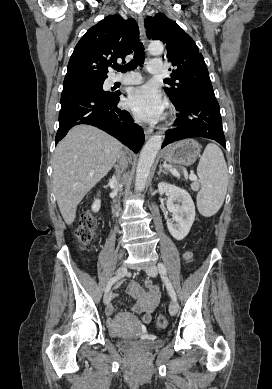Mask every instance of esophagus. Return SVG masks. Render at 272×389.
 <instances>
[{
	"mask_svg": "<svg viewBox=\"0 0 272 389\" xmlns=\"http://www.w3.org/2000/svg\"><path fill=\"white\" fill-rule=\"evenodd\" d=\"M138 26H139L141 41L146 46L147 45V38H146L145 27H144V19H143L142 15H139V17H138ZM144 133H145V137L148 138L153 133V129L145 128Z\"/></svg>",
	"mask_w": 272,
	"mask_h": 389,
	"instance_id": "obj_1",
	"label": "esophagus"
}]
</instances>
